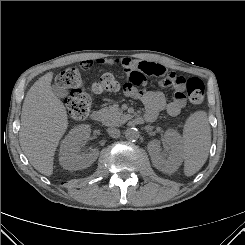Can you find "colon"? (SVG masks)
Masks as SVG:
<instances>
[{"label": "colon", "mask_w": 245, "mask_h": 245, "mask_svg": "<svg viewBox=\"0 0 245 245\" xmlns=\"http://www.w3.org/2000/svg\"><path fill=\"white\" fill-rule=\"evenodd\" d=\"M144 76L140 73H133L130 81L139 86L144 81ZM57 84L65 89H70L71 94L66 99V107L69 115L75 120L86 118L91 110L92 101L90 96L84 91L83 82L79 71L70 67L63 70L57 77ZM119 88V83L111 73H104L93 84L96 93L114 92ZM186 90L189 101L192 104H200L204 99V83L197 77L189 78L186 81Z\"/></svg>", "instance_id": "obj_1"}]
</instances>
